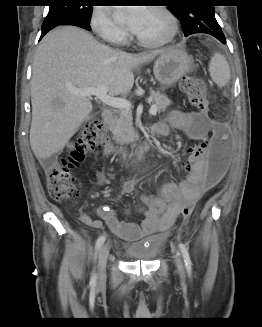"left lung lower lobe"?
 Returning a JSON list of instances; mask_svg holds the SVG:
<instances>
[{
	"label": "left lung lower lobe",
	"instance_id": "left-lung-lower-lobe-1",
	"mask_svg": "<svg viewBox=\"0 0 262 327\" xmlns=\"http://www.w3.org/2000/svg\"><path fill=\"white\" fill-rule=\"evenodd\" d=\"M210 35H212V36H214V37H216L220 42H222L223 44H225L226 43V39H225V36H224V34L223 35H218V34H210ZM189 36V35H188Z\"/></svg>",
	"mask_w": 262,
	"mask_h": 327
}]
</instances>
